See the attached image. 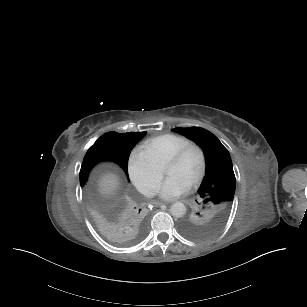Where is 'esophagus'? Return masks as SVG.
<instances>
[{
  "instance_id": "obj_1",
  "label": "esophagus",
  "mask_w": 307,
  "mask_h": 307,
  "mask_svg": "<svg viewBox=\"0 0 307 307\" xmlns=\"http://www.w3.org/2000/svg\"><path fill=\"white\" fill-rule=\"evenodd\" d=\"M163 203H161V202H156V205H158V206H160V205H162Z\"/></svg>"
}]
</instances>
